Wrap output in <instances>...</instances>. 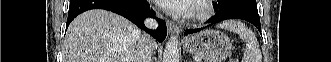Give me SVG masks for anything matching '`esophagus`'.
I'll use <instances>...</instances> for the list:
<instances>
[{"label":"esophagus","mask_w":331,"mask_h":62,"mask_svg":"<svg viewBox=\"0 0 331 62\" xmlns=\"http://www.w3.org/2000/svg\"><path fill=\"white\" fill-rule=\"evenodd\" d=\"M166 24L170 34H179L181 32V28L174 22L168 20Z\"/></svg>","instance_id":"obj_1"}]
</instances>
